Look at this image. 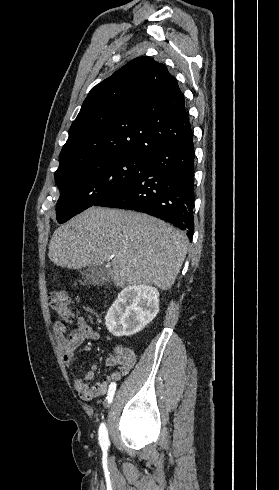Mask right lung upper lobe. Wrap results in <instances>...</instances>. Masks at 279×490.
Masks as SVG:
<instances>
[{
	"mask_svg": "<svg viewBox=\"0 0 279 490\" xmlns=\"http://www.w3.org/2000/svg\"><path fill=\"white\" fill-rule=\"evenodd\" d=\"M191 136L176 78L164 64L138 57L89 92L70 127L55 176L97 158L149 160Z\"/></svg>",
	"mask_w": 279,
	"mask_h": 490,
	"instance_id": "obj_1",
	"label": "right lung upper lobe"
}]
</instances>
